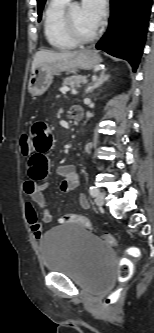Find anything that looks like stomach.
I'll return each instance as SVG.
<instances>
[{
    "mask_svg": "<svg viewBox=\"0 0 154 333\" xmlns=\"http://www.w3.org/2000/svg\"><path fill=\"white\" fill-rule=\"evenodd\" d=\"M102 62L97 52L83 50L76 56L52 63H42L31 71L28 90L33 96L43 95L50 87L53 76L77 69L91 70Z\"/></svg>",
    "mask_w": 154,
    "mask_h": 333,
    "instance_id": "stomach-1",
    "label": "stomach"
}]
</instances>
